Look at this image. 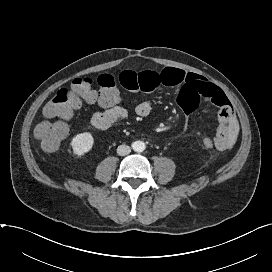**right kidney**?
<instances>
[{"label": "right kidney", "instance_id": "right-kidney-1", "mask_svg": "<svg viewBox=\"0 0 272 272\" xmlns=\"http://www.w3.org/2000/svg\"><path fill=\"white\" fill-rule=\"evenodd\" d=\"M93 143L94 138L90 132L78 134L71 142L73 153L78 157H81L92 149Z\"/></svg>", "mask_w": 272, "mask_h": 272}]
</instances>
